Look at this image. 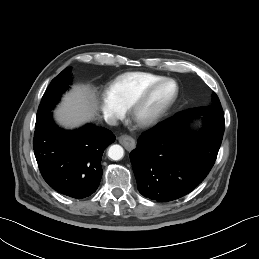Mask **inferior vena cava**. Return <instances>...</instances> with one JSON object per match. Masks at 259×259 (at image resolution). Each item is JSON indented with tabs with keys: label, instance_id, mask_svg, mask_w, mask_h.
Returning <instances> with one entry per match:
<instances>
[{
	"label": "inferior vena cava",
	"instance_id": "inferior-vena-cava-1",
	"mask_svg": "<svg viewBox=\"0 0 259 259\" xmlns=\"http://www.w3.org/2000/svg\"><path fill=\"white\" fill-rule=\"evenodd\" d=\"M105 121L107 124L111 125V126H115L117 125V119L114 116H106L105 117Z\"/></svg>",
	"mask_w": 259,
	"mask_h": 259
}]
</instances>
